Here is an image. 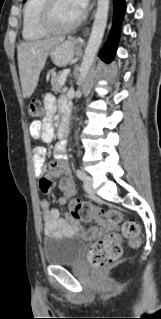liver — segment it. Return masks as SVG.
Returning a JSON list of instances; mask_svg holds the SVG:
<instances>
[{"instance_id":"6515ba94","label":"liver","mask_w":161,"mask_h":319,"mask_svg":"<svg viewBox=\"0 0 161 319\" xmlns=\"http://www.w3.org/2000/svg\"><path fill=\"white\" fill-rule=\"evenodd\" d=\"M61 41L63 38H49L21 42L18 45V67L24 98H29L33 94L48 53Z\"/></svg>"}]
</instances>
